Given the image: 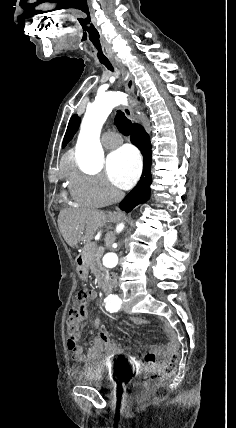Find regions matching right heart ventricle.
I'll return each instance as SVG.
<instances>
[{
  "mask_svg": "<svg viewBox=\"0 0 236 428\" xmlns=\"http://www.w3.org/2000/svg\"><path fill=\"white\" fill-rule=\"evenodd\" d=\"M70 168H71L72 171H74L75 170V165L73 163H71L70 164Z\"/></svg>",
  "mask_w": 236,
  "mask_h": 428,
  "instance_id": "1",
  "label": "right heart ventricle"
}]
</instances>
